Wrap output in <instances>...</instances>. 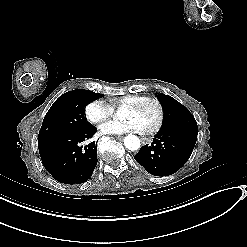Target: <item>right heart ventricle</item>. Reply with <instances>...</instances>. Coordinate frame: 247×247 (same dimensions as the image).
I'll return each instance as SVG.
<instances>
[{"label": "right heart ventricle", "instance_id": "e07e8e85", "mask_svg": "<svg viewBox=\"0 0 247 247\" xmlns=\"http://www.w3.org/2000/svg\"><path fill=\"white\" fill-rule=\"evenodd\" d=\"M143 96L140 95H129V96H123V97H119L113 100V104L114 106H126L129 105L133 102H135L136 100L140 99Z\"/></svg>", "mask_w": 247, "mask_h": 247}]
</instances>
